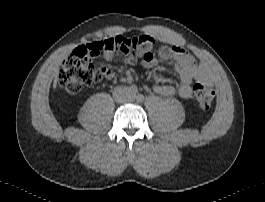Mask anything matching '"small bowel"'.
<instances>
[{
  "mask_svg": "<svg viewBox=\"0 0 265 202\" xmlns=\"http://www.w3.org/2000/svg\"><path fill=\"white\" fill-rule=\"evenodd\" d=\"M145 44H152L155 41V36L153 34H148L146 36ZM76 54H87L92 55L89 46H82L74 51ZM158 54L163 59L172 60L174 62L175 70L178 72L181 84L179 87H175L170 84H156L154 85V90L163 96H173L176 93L183 99H190L193 94L192 83L201 80L203 77V68L200 67L194 59L180 46L163 45L159 47ZM102 56L109 60L112 58L111 52H104ZM126 63H136L138 62L143 68L153 69L157 67L158 61L151 54L147 55L144 49H138L134 54L126 55L124 58ZM126 82H131L132 77L126 74L123 78Z\"/></svg>",
  "mask_w": 265,
  "mask_h": 202,
  "instance_id": "c3829d8e",
  "label": "small bowel"
}]
</instances>
